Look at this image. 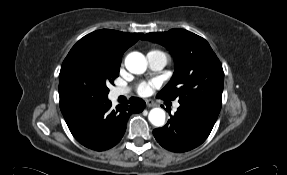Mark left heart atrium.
Here are the masks:
<instances>
[{
  "mask_svg": "<svg viewBox=\"0 0 287 175\" xmlns=\"http://www.w3.org/2000/svg\"><path fill=\"white\" fill-rule=\"evenodd\" d=\"M158 85L159 82L157 80L142 81L137 86V92L141 96H148L156 87H158Z\"/></svg>",
  "mask_w": 287,
  "mask_h": 175,
  "instance_id": "39dd6f15",
  "label": "left heart atrium"
}]
</instances>
